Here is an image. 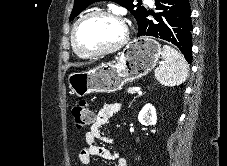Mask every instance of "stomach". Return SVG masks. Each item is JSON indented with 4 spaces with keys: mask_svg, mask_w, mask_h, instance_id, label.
I'll return each mask as SVG.
<instances>
[{
    "mask_svg": "<svg viewBox=\"0 0 227 166\" xmlns=\"http://www.w3.org/2000/svg\"><path fill=\"white\" fill-rule=\"evenodd\" d=\"M161 45L151 38L132 41L113 62L102 63L88 71L68 75V85L77 97L90 93H112L124 84L147 75L158 63Z\"/></svg>",
    "mask_w": 227,
    "mask_h": 166,
    "instance_id": "stomach-1",
    "label": "stomach"
}]
</instances>
